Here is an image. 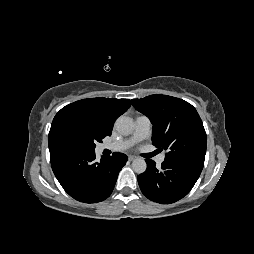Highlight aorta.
Wrapping results in <instances>:
<instances>
[{
	"instance_id": "762f6f07",
	"label": "aorta",
	"mask_w": 254,
	"mask_h": 254,
	"mask_svg": "<svg viewBox=\"0 0 254 254\" xmlns=\"http://www.w3.org/2000/svg\"><path fill=\"white\" fill-rule=\"evenodd\" d=\"M115 127L118 132L123 135H129L134 130V121L128 116H120L116 122ZM133 170L138 173H144L147 169V164L143 158H137L132 162Z\"/></svg>"
}]
</instances>
